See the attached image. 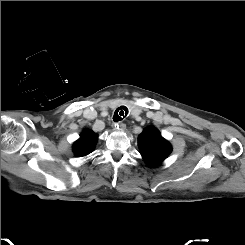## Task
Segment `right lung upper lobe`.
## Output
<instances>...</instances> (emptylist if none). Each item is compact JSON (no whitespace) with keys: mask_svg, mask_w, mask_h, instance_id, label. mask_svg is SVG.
<instances>
[{"mask_svg":"<svg viewBox=\"0 0 245 245\" xmlns=\"http://www.w3.org/2000/svg\"><path fill=\"white\" fill-rule=\"evenodd\" d=\"M96 141L97 135L90 130H85L73 145L75 155L78 157L88 155L94 150Z\"/></svg>","mask_w":245,"mask_h":245,"instance_id":"1","label":"right lung upper lobe"}]
</instances>
